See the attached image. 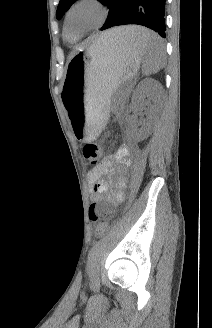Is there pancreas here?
<instances>
[{
    "mask_svg": "<svg viewBox=\"0 0 212 328\" xmlns=\"http://www.w3.org/2000/svg\"><path fill=\"white\" fill-rule=\"evenodd\" d=\"M122 97H123V96H121V99H122ZM121 99H119V101H121V102H122V100H121Z\"/></svg>",
    "mask_w": 212,
    "mask_h": 328,
    "instance_id": "1",
    "label": "pancreas"
}]
</instances>
